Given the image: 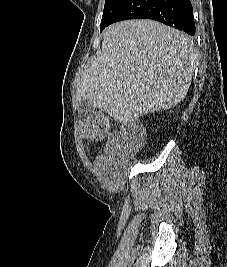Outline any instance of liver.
<instances>
[{"instance_id": "liver-1", "label": "liver", "mask_w": 227, "mask_h": 267, "mask_svg": "<svg viewBox=\"0 0 227 267\" xmlns=\"http://www.w3.org/2000/svg\"><path fill=\"white\" fill-rule=\"evenodd\" d=\"M195 52L182 32L152 20H128L103 33L101 55L81 76L77 100L88 99L118 123L170 109L191 85Z\"/></svg>"}]
</instances>
